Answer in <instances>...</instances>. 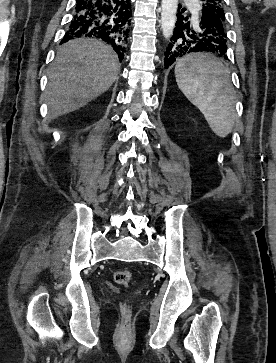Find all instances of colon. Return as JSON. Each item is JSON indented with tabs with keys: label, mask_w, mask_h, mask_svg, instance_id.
I'll return each instance as SVG.
<instances>
[{
	"label": "colon",
	"mask_w": 276,
	"mask_h": 363,
	"mask_svg": "<svg viewBox=\"0 0 276 363\" xmlns=\"http://www.w3.org/2000/svg\"><path fill=\"white\" fill-rule=\"evenodd\" d=\"M132 274L128 270H117L114 272V280L117 284L128 286L131 282ZM120 315L124 323H126L131 315V309L128 304L122 303L120 305Z\"/></svg>",
	"instance_id": "colon-1"
}]
</instances>
